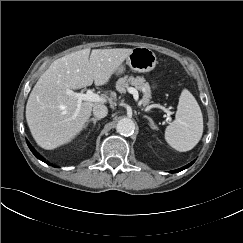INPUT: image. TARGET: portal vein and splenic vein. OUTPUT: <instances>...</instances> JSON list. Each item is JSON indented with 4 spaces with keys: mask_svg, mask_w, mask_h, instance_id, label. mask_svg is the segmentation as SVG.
Returning <instances> with one entry per match:
<instances>
[{
    "mask_svg": "<svg viewBox=\"0 0 243 243\" xmlns=\"http://www.w3.org/2000/svg\"><path fill=\"white\" fill-rule=\"evenodd\" d=\"M128 92L132 94L135 99H138V91L135 88L129 87ZM66 94L78 100V109L80 108L82 101H90L95 103L106 102V99L104 97H101L98 94L93 93L92 90H87L86 93H77L72 90H67Z\"/></svg>",
    "mask_w": 243,
    "mask_h": 243,
    "instance_id": "portal-vein-and-splenic-vein-1",
    "label": "portal vein and splenic vein"
}]
</instances>
